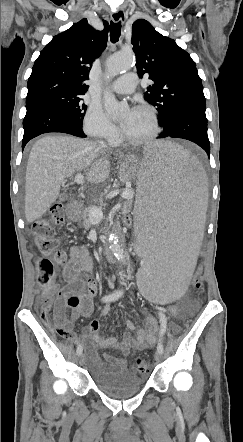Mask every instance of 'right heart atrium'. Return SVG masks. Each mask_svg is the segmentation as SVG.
Wrapping results in <instances>:
<instances>
[{"label": "right heart atrium", "mask_w": 243, "mask_h": 442, "mask_svg": "<svg viewBox=\"0 0 243 442\" xmlns=\"http://www.w3.org/2000/svg\"><path fill=\"white\" fill-rule=\"evenodd\" d=\"M85 133L93 138L114 142L118 135L117 127L108 119L103 109L96 105L88 107L83 119Z\"/></svg>", "instance_id": "1"}]
</instances>
